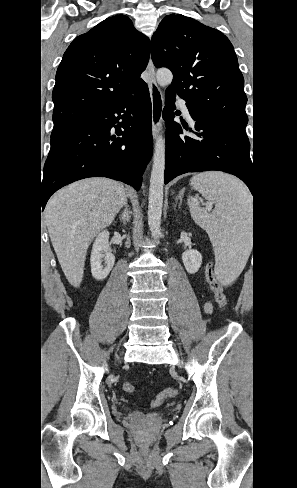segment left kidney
<instances>
[{
    "mask_svg": "<svg viewBox=\"0 0 297 488\" xmlns=\"http://www.w3.org/2000/svg\"><path fill=\"white\" fill-rule=\"evenodd\" d=\"M182 261L187 272L190 274H195L201 267L202 256L197 250L189 249L183 252Z\"/></svg>",
    "mask_w": 297,
    "mask_h": 488,
    "instance_id": "obj_1",
    "label": "left kidney"
}]
</instances>
